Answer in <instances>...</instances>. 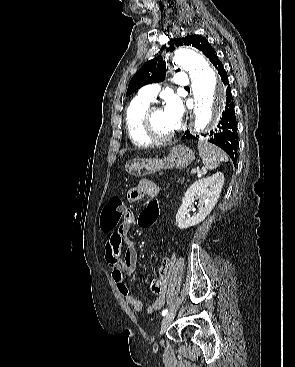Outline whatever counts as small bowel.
I'll return each mask as SVG.
<instances>
[{
  "label": "small bowel",
  "mask_w": 295,
  "mask_h": 367,
  "mask_svg": "<svg viewBox=\"0 0 295 367\" xmlns=\"http://www.w3.org/2000/svg\"><path fill=\"white\" fill-rule=\"evenodd\" d=\"M149 195H157L161 198V187L149 179H143L136 187L129 191L128 200L132 203H136ZM136 213V208H127L124 214V222L116 229L105 231L110 233L105 244V260L112 270V278L116 283L117 289L124 297L125 301L131 305L135 311H141L143 308L142 302L133 297L124 280L125 276H135L138 267L137 248L135 243L128 236L132 224L135 223ZM122 243L127 245L124 256L121 255ZM170 271L171 261L168 257L163 256L158 269V275L151 285L153 292L158 296L154 303L148 308V312L158 310L164 305Z\"/></svg>",
  "instance_id": "obj_1"
}]
</instances>
